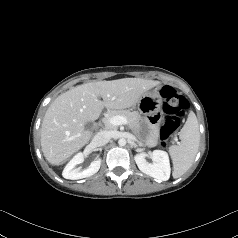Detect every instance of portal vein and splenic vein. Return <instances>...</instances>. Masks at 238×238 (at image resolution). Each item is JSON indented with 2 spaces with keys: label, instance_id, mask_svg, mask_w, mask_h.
<instances>
[{
  "label": "portal vein and splenic vein",
  "instance_id": "obj_1",
  "mask_svg": "<svg viewBox=\"0 0 238 238\" xmlns=\"http://www.w3.org/2000/svg\"><path fill=\"white\" fill-rule=\"evenodd\" d=\"M109 124L113 126H119V125H126L128 124V121L123 116H113L108 120Z\"/></svg>",
  "mask_w": 238,
  "mask_h": 238
}]
</instances>
